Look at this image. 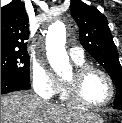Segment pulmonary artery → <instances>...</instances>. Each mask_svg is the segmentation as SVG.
<instances>
[{
  "label": "pulmonary artery",
  "mask_w": 122,
  "mask_h": 123,
  "mask_svg": "<svg viewBox=\"0 0 122 123\" xmlns=\"http://www.w3.org/2000/svg\"><path fill=\"white\" fill-rule=\"evenodd\" d=\"M69 55L73 61L84 59V51L80 47L72 46L69 48Z\"/></svg>",
  "instance_id": "1"
}]
</instances>
